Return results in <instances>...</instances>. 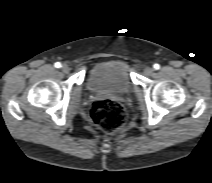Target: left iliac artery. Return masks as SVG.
Wrapping results in <instances>:
<instances>
[{
    "instance_id": "44dca946",
    "label": "left iliac artery",
    "mask_w": 212,
    "mask_h": 183,
    "mask_svg": "<svg viewBox=\"0 0 212 183\" xmlns=\"http://www.w3.org/2000/svg\"><path fill=\"white\" fill-rule=\"evenodd\" d=\"M153 68H154L155 70H158V69L160 68V65L156 63V64L153 65Z\"/></svg>"
}]
</instances>
